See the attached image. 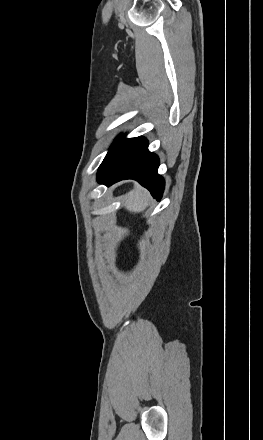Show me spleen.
<instances>
[{"instance_id": "3e777b00", "label": "spleen", "mask_w": 263, "mask_h": 440, "mask_svg": "<svg viewBox=\"0 0 263 440\" xmlns=\"http://www.w3.org/2000/svg\"><path fill=\"white\" fill-rule=\"evenodd\" d=\"M150 195L142 188L130 191L124 198L125 208L134 213L143 212L149 205Z\"/></svg>"}]
</instances>
